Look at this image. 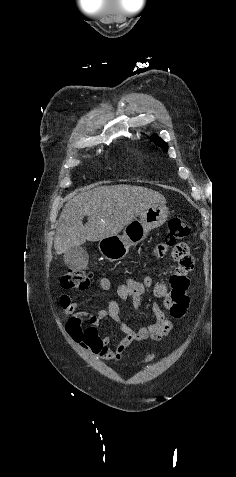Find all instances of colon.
Returning a JSON list of instances; mask_svg holds the SVG:
<instances>
[{
  "mask_svg": "<svg viewBox=\"0 0 236 477\" xmlns=\"http://www.w3.org/2000/svg\"><path fill=\"white\" fill-rule=\"evenodd\" d=\"M191 231L190 225L179 219L172 218L168 222V231L166 235V244L173 247V256L181 259L187 256L189 248L185 243L180 242L186 238ZM91 275L82 271L69 270L61 278V286L64 289L84 290L90 284Z\"/></svg>",
  "mask_w": 236,
  "mask_h": 477,
  "instance_id": "colon-1",
  "label": "colon"
}]
</instances>
